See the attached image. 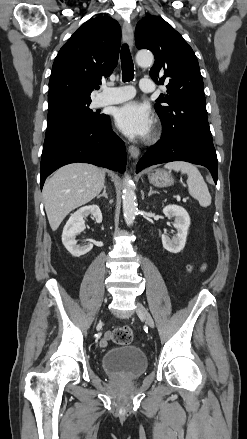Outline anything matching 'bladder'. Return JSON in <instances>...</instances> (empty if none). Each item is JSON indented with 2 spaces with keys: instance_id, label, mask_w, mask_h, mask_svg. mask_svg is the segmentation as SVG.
I'll return each mask as SVG.
<instances>
[{
  "instance_id": "bladder-1",
  "label": "bladder",
  "mask_w": 247,
  "mask_h": 439,
  "mask_svg": "<svg viewBox=\"0 0 247 439\" xmlns=\"http://www.w3.org/2000/svg\"><path fill=\"white\" fill-rule=\"evenodd\" d=\"M102 367L111 377L135 379L148 367V359L142 349L134 345L113 348L102 356Z\"/></svg>"
}]
</instances>
